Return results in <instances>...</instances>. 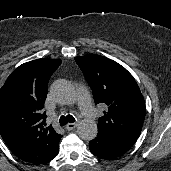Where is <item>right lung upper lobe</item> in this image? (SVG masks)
I'll return each instance as SVG.
<instances>
[{"mask_svg": "<svg viewBox=\"0 0 171 171\" xmlns=\"http://www.w3.org/2000/svg\"><path fill=\"white\" fill-rule=\"evenodd\" d=\"M60 59H37L20 65L0 89V134L24 161L42 164L58 148L61 135L46 125L42 113L48 81Z\"/></svg>", "mask_w": 171, "mask_h": 171, "instance_id": "right-lung-upper-lobe-1", "label": "right lung upper lobe"}]
</instances>
